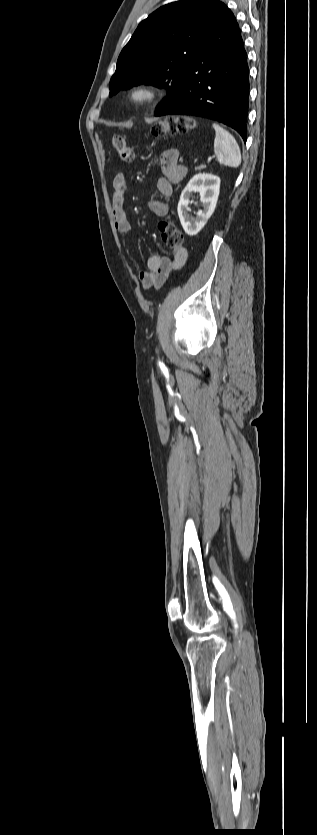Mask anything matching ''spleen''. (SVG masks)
<instances>
[{"label":"spleen","mask_w":317,"mask_h":835,"mask_svg":"<svg viewBox=\"0 0 317 835\" xmlns=\"http://www.w3.org/2000/svg\"><path fill=\"white\" fill-rule=\"evenodd\" d=\"M215 130L214 153L219 164L236 168L241 164V152L235 138L219 124H212Z\"/></svg>","instance_id":"spleen-1"}]
</instances>
